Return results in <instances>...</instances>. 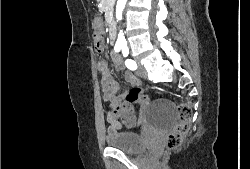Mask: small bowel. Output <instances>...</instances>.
I'll return each mask as SVG.
<instances>
[{
	"label": "small bowel",
	"instance_id": "obj_1",
	"mask_svg": "<svg viewBox=\"0 0 250 169\" xmlns=\"http://www.w3.org/2000/svg\"><path fill=\"white\" fill-rule=\"evenodd\" d=\"M93 28L94 30L97 29L100 33L101 22L99 19L96 18L93 21ZM104 48L105 46L103 40L101 45H97L95 43V49L98 53L103 52ZM112 59L115 69L122 70L123 61L121 57L117 54H113ZM98 69L102 75V85L104 89L105 99H107L110 103H122V115H119V120H113V115H110L111 108H109V113L106 118L107 123L109 125V133H112L116 129H119L121 127V123L128 128L135 127L137 125V118L135 115L134 102L127 101L126 94H120L121 88L114 81V78L109 71L108 63L106 61L100 62L98 64ZM124 77L131 84L132 87H139L141 84L140 80L131 72H126Z\"/></svg>",
	"mask_w": 250,
	"mask_h": 169
}]
</instances>
